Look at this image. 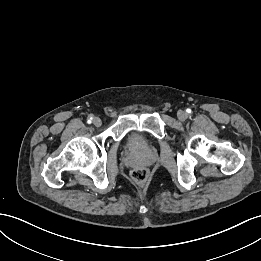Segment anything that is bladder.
Listing matches in <instances>:
<instances>
[{"label": "bladder", "instance_id": "31cf9c89", "mask_svg": "<svg viewBox=\"0 0 261 261\" xmlns=\"http://www.w3.org/2000/svg\"><path fill=\"white\" fill-rule=\"evenodd\" d=\"M139 142V134L133 133L128 137L127 144L129 147H135Z\"/></svg>", "mask_w": 261, "mask_h": 261}]
</instances>
